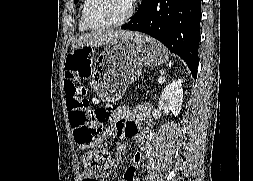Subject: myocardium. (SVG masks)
Returning a JSON list of instances; mask_svg holds the SVG:
<instances>
[{
	"instance_id": "1",
	"label": "myocardium",
	"mask_w": 253,
	"mask_h": 181,
	"mask_svg": "<svg viewBox=\"0 0 253 181\" xmlns=\"http://www.w3.org/2000/svg\"><path fill=\"white\" fill-rule=\"evenodd\" d=\"M94 0H86V4L83 10V19L87 27L93 30H105L120 27L126 24L134 15L136 8V0H131V5L127 14L119 21L108 24H96L90 17V9Z\"/></svg>"
}]
</instances>
